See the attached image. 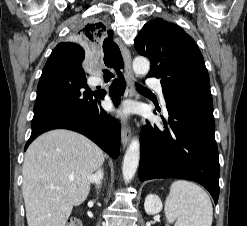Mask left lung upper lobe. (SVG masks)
I'll use <instances>...</instances> for the list:
<instances>
[{"instance_id":"5c2ea615","label":"left lung upper lobe","mask_w":247,"mask_h":226,"mask_svg":"<svg viewBox=\"0 0 247 226\" xmlns=\"http://www.w3.org/2000/svg\"><path fill=\"white\" fill-rule=\"evenodd\" d=\"M135 48L151 62L149 77L161 78L163 93L180 83H209L203 56L179 26L157 18L144 25Z\"/></svg>"}]
</instances>
